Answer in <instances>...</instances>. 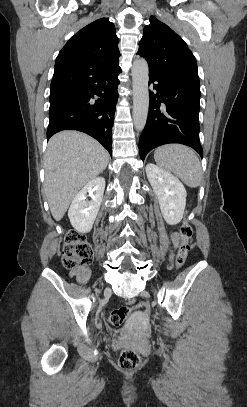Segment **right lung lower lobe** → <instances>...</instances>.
Here are the masks:
<instances>
[{
  "label": "right lung lower lobe",
  "mask_w": 247,
  "mask_h": 407,
  "mask_svg": "<svg viewBox=\"0 0 247 407\" xmlns=\"http://www.w3.org/2000/svg\"><path fill=\"white\" fill-rule=\"evenodd\" d=\"M120 72L119 65L97 72L77 90L50 99L47 140L62 130H78L94 137L112 155L111 136ZM94 95L100 98L91 104Z\"/></svg>",
  "instance_id": "98d812e1"
}]
</instances>
